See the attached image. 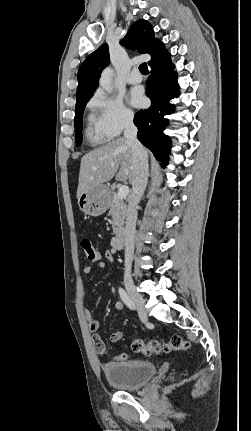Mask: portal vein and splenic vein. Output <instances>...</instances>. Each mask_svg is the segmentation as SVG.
I'll list each match as a JSON object with an SVG mask.
<instances>
[{
	"label": "portal vein and splenic vein",
	"instance_id": "18ae733b",
	"mask_svg": "<svg viewBox=\"0 0 251 431\" xmlns=\"http://www.w3.org/2000/svg\"><path fill=\"white\" fill-rule=\"evenodd\" d=\"M128 194H129V187L126 185L121 186L118 190V193H117V195L120 199L126 198L128 196Z\"/></svg>",
	"mask_w": 251,
	"mask_h": 431
}]
</instances>
